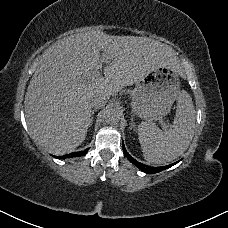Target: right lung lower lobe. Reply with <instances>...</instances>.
I'll use <instances>...</instances> for the list:
<instances>
[{
    "instance_id": "1",
    "label": "right lung lower lobe",
    "mask_w": 228,
    "mask_h": 228,
    "mask_svg": "<svg viewBox=\"0 0 228 228\" xmlns=\"http://www.w3.org/2000/svg\"><path fill=\"white\" fill-rule=\"evenodd\" d=\"M88 150H84V151H81V152H74V153H71V154H68V155H64V156H60V157H57L58 159H65V158H70V157H79V156H83L86 154Z\"/></svg>"
}]
</instances>
